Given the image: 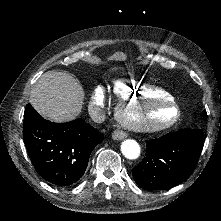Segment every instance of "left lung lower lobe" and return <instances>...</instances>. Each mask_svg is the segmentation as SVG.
<instances>
[{"instance_id": "obj_1", "label": "left lung lower lobe", "mask_w": 221, "mask_h": 221, "mask_svg": "<svg viewBox=\"0 0 221 221\" xmlns=\"http://www.w3.org/2000/svg\"><path fill=\"white\" fill-rule=\"evenodd\" d=\"M146 143L144 159L132 169L134 180L146 190L168 189L192 174L204 137L200 129H180Z\"/></svg>"}]
</instances>
